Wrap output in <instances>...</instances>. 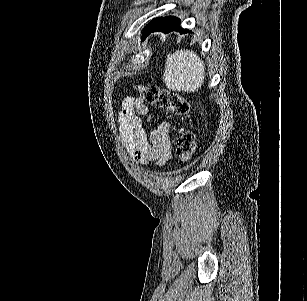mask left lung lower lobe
<instances>
[{"instance_id":"0a47b994","label":"left lung lower lobe","mask_w":307,"mask_h":301,"mask_svg":"<svg viewBox=\"0 0 307 301\" xmlns=\"http://www.w3.org/2000/svg\"><path fill=\"white\" fill-rule=\"evenodd\" d=\"M180 23V19L173 16L158 18L149 27L148 34L154 31L169 33L173 30L180 31L181 33L188 32L187 30H184L180 27Z\"/></svg>"}]
</instances>
